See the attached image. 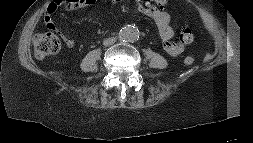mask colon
<instances>
[{
    "mask_svg": "<svg viewBox=\"0 0 253 143\" xmlns=\"http://www.w3.org/2000/svg\"><path fill=\"white\" fill-rule=\"evenodd\" d=\"M93 0H53L47 7L50 13H54L58 8H75L82 5H86ZM149 5L155 4L158 0H144ZM192 33L188 29L183 30V40L188 42L191 38ZM61 44L58 37L51 33H38L33 38V49L34 55L37 59H44L51 55L56 54L60 50ZM186 64H190L192 62V58L187 56L184 60Z\"/></svg>",
    "mask_w": 253,
    "mask_h": 143,
    "instance_id": "colon-1",
    "label": "colon"
}]
</instances>
